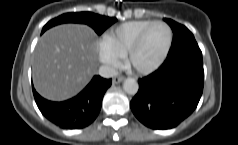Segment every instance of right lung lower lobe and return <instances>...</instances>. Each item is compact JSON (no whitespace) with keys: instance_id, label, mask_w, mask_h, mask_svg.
<instances>
[{"instance_id":"obj_1","label":"right lung lower lobe","mask_w":238,"mask_h":145,"mask_svg":"<svg viewBox=\"0 0 238 145\" xmlns=\"http://www.w3.org/2000/svg\"><path fill=\"white\" fill-rule=\"evenodd\" d=\"M112 79L94 76L77 96L64 102H51L42 98L33 88L36 104L41 113L63 129H80L91 124L99 114L102 99Z\"/></svg>"}]
</instances>
